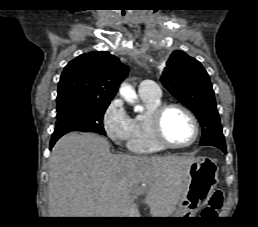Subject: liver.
Segmentation results:
<instances>
[{
  "instance_id": "obj_1",
  "label": "liver",
  "mask_w": 258,
  "mask_h": 227,
  "mask_svg": "<svg viewBox=\"0 0 258 227\" xmlns=\"http://www.w3.org/2000/svg\"><path fill=\"white\" fill-rule=\"evenodd\" d=\"M192 156L111 154L106 138L72 132L49 158L50 217H140L144 195L152 217H169L183 190Z\"/></svg>"
}]
</instances>
